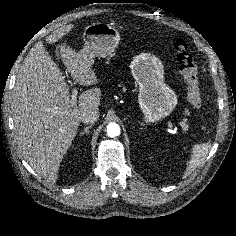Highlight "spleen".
Segmentation results:
<instances>
[{"mask_svg":"<svg viewBox=\"0 0 236 236\" xmlns=\"http://www.w3.org/2000/svg\"><path fill=\"white\" fill-rule=\"evenodd\" d=\"M211 148L210 143H202L194 145L191 158L184 172L183 178L188 177L206 158Z\"/></svg>","mask_w":236,"mask_h":236,"instance_id":"obj_1","label":"spleen"}]
</instances>
